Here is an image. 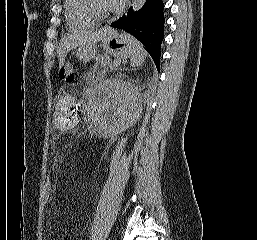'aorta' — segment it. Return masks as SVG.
Instances as JSON below:
<instances>
[{"label": "aorta", "instance_id": "obj_1", "mask_svg": "<svg viewBox=\"0 0 257 240\" xmlns=\"http://www.w3.org/2000/svg\"><path fill=\"white\" fill-rule=\"evenodd\" d=\"M146 0H133V10L138 11L145 3Z\"/></svg>", "mask_w": 257, "mask_h": 240}]
</instances>
